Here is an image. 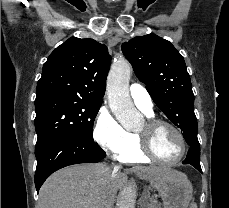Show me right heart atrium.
Instances as JSON below:
<instances>
[{
	"instance_id": "obj_1",
	"label": "right heart atrium",
	"mask_w": 229,
	"mask_h": 208,
	"mask_svg": "<svg viewBox=\"0 0 229 208\" xmlns=\"http://www.w3.org/2000/svg\"><path fill=\"white\" fill-rule=\"evenodd\" d=\"M92 134L95 142L102 149L115 155H120L134 147L129 132L122 127L106 106H102L98 110L94 119Z\"/></svg>"
}]
</instances>
